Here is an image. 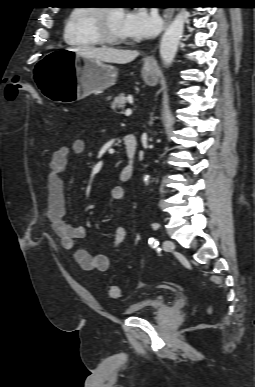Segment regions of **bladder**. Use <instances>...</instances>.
<instances>
[{
    "label": "bladder",
    "instance_id": "bladder-1",
    "mask_svg": "<svg viewBox=\"0 0 255 387\" xmlns=\"http://www.w3.org/2000/svg\"><path fill=\"white\" fill-rule=\"evenodd\" d=\"M167 305L164 297L157 296L131 304L125 309L124 314L127 316L145 317L161 312Z\"/></svg>",
    "mask_w": 255,
    "mask_h": 387
}]
</instances>
